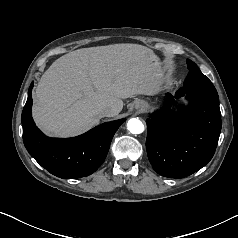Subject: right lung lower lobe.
Returning <instances> with one entry per match:
<instances>
[{
    "mask_svg": "<svg viewBox=\"0 0 238 238\" xmlns=\"http://www.w3.org/2000/svg\"><path fill=\"white\" fill-rule=\"evenodd\" d=\"M32 88L33 84L22 112L23 141L29 154L60 178H80L94 173L104 162L113 135L125 119L101 124L74 138H49L32 119Z\"/></svg>",
    "mask_w": 238,
    "mask_h": 238,
    "instance_id": "obj_1",
    "label": "right lung lower lobe"
}]
</instances>
